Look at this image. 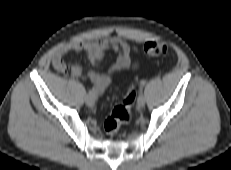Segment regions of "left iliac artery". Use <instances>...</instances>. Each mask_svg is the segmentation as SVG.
<instances>
[{
  "mask_svg": "<svg viewBox=\"0 0 231 170\" xmlns=\"http://www.w3.org/2000/svg\"><path fill=\"white\" fill-rule=\"evenodd\" d=\"M141 85H142V86H144V85H145V82H144V81H142V82H141Z\"/></svg>",
  "mask_w": 231,
  "mask_h": 170,
  "instance_id": "1",
  "label": "left iliac artery"
}]
</instances>
